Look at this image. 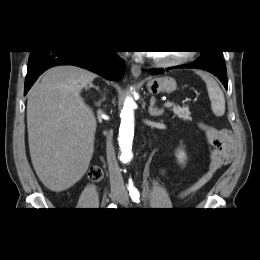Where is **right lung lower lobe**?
I'll use <instances>...</instances> for the list:
<instances>
[{
	"instance_id": "obj_1",
	"label": "right lung lower lobe",
	"mask_w": 260,
	"mask_h": 260,
	"mask_svg": "<svg viewBox=\"0 0 260 260\" xmlns=\"http://www.w3.org/2000/svg\"><path fill=\"white\" fill-rule=\"evenodd\" d=\"M55 65L79 66L109 80H119L123 76L125 69L124 61L118 59L115 51H31L24 95L45 70Z\"/></svg>"
}]
</instances>
